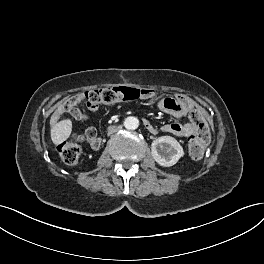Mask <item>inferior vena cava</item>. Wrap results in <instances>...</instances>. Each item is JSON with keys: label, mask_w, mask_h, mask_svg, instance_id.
Returning <instances> with one entry per match:
<instances>
[{"label": "inferior vena cava", "mask_w": 264, "mask_h": 264, "mask_svg": "<svg viewBox=\"0 0 264 264\" xmlns=\"http://www.w3.org/2000/svg\"><path fill=\"white\" fill-rule=\"evenodd\" d=\"M123 128H124V126L121 124L120 126L111 129L109 132H110L111 134H114V135H115L117 132H119V131L122 130Z\"/></svg>", "instance_id": "inferior-vena-cava-1"}]
</instances>
